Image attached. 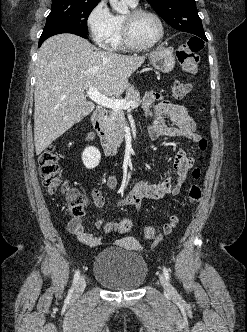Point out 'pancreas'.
<instances>
[{
    "mask_svg": "<svg viewBox=\"0 0 247 332\" xmlns=\"http://www.w3.org/2000/svg\"><path fill=\"white\" fill-rule=\"evenodd\" d=\"M125 100L140 104V93L134 86L128 87ZM127 121L122 109L110 110L102 122V129L108 141L115 147H119L124 139Z\"/></svg>",
    "mask_w": 247,
    "mask_h": 332,
    "instance_id": "pancreas-1",
    "label": "pancreas"
}]
</instances>
